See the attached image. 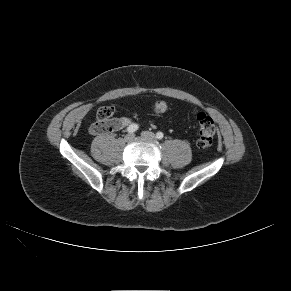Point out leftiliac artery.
<instances>
[{"instance_id":"left-iliac-artery-1","label":"left iliac artery","mask_w":291,"mask_h":291,"mask_svg":"<svg viewBox=\"0 0 291 291\" xmlns=\"http://www.w3.org/2000/svg\"><path fill=\"white\" fill-rule=\"evenodd\" d=\"M163 137H164V134L162 132L159 131V132L156 133V138L157 139H162Z\"/></svg>"}]
</instances>
